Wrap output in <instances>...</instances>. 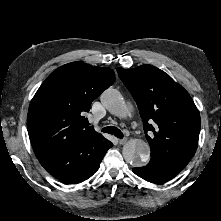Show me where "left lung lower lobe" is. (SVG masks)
I'll return each mask as SVG.
<instances>
[{"label": "left lung lower lobe", "mask_w": 221, "mask_h": 221, "mask_svg": "<svg viewBox=\"0 0 221 221\" xmlns=\"http://www.w3.org/2000/svg\"><path fill=\"white\" fill-rule=\"evenodd\" d=\"M181 170L157 159H150V162L143 167L133 168V172L144 180L151 183H166L174 178Z\"/></svg>", "instance_id": "obj_1"}]
</instances>
